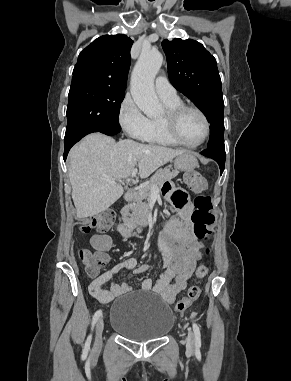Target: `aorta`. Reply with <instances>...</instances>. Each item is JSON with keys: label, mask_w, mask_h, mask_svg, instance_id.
Instances as JSON below:
<instances>
[{"label": "aorta", "mask_w": 291, "mask_h": 381, "mask_svg": "<svg viewBox=\"0 0 291 381\" xmlns=\"http://www.w3.org/2000/svg\"><path fill=\"white\" fill-rule=\"evenodd\" d=\"M163 62L158 50H143L131 75V95L138 108L148 117L161 113L154 89V79Z\"/></svg>", "instance_id": "762f6f07"}]
</instances>
